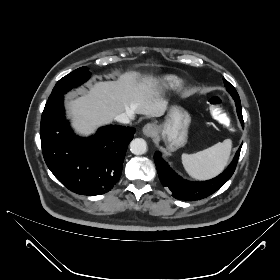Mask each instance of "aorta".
<instances>
[{
	"instance_id": "1",
	"label": "aorta",
	"mask_w": 280,
	"mask_h": 280,
	"mask_svg": "<svg viewBox=\"0 0 280 280\" xmlns=\"http://www.w3.org/2000/svg\"><path fill=\"white\" fill-rule=\"evenodd\" d=\"M130 151L134 155H142L147 151V143L142 138L133 139L130 143Z\"/></svg>"
}]
</instances>
